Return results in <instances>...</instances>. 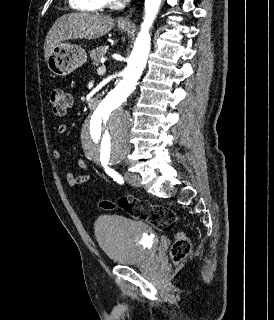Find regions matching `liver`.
Wrapping results in <instances>:
<instances>
[{
    "label": "liver",
    "mask_w": 274,
    "mask_h": 320,
    "mask_svg": "<svg viewBox=\"0 0 274 320\" xmlns=\"http://www.w3.org/2000/svg\"><path fill=\"white\" fill-rule=\"evenodd\" d=\"M115 20L110 16L81 12L65 14L50 28L44 46V58L48 60L52 50L67 40H96L106 36L114 28Z\"/></svg>",
    "instance_id": "obj_1"
}]
</instances>
